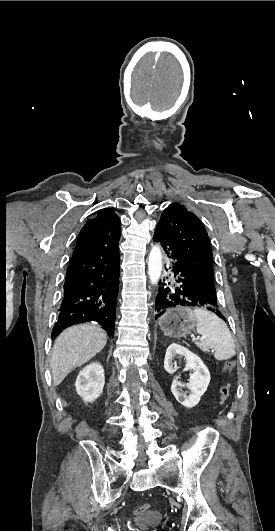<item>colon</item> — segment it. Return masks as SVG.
I'll return each mask as SVG.
<instances>
[{
	"label": "colon",
	"mask_w": 275,
	"mask_h": 531,
	"mask_svg": "<svg viewBox=\"0 0 275 531\" xmlns=\"http://www.w3.org/2000/svg\"><path fill=\"white\" fill-rule=\"evenodd\" d=\"M235 362L234 361H228L225 364L224 367V374L226 376H230L234 369H235ZM230 391H231V385L229 382H224L222 386L220 387V396H221V403H228L230 401ZM150 509V506L148 504H141L137 507L136 511L140 514L147 513Z\"/></svg>",
	"instance_id": "colon-1"
}]
</instances>
